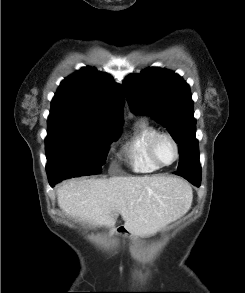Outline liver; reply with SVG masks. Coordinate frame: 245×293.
Returning a JSON list of instances; mask_svg holds the SVG:
<instances>
[{
  "mask_svg": "<svg viewBox=\"0 0 245 293\" xmlns=\"http://www.w3.org/2000/svg\"><path fill=\"white\" fill-rule=\"evenodd\" d=\"M57 200L66 214L112 232L120 214L129 233L148 237L188 211L192 190L172 176L82 178L59 186Z\"/></svg>",
  "mask_w": 245,
  "mask_h": 293,
  "instance_id": "1",
  "label": "liver"
}]
</instances>
